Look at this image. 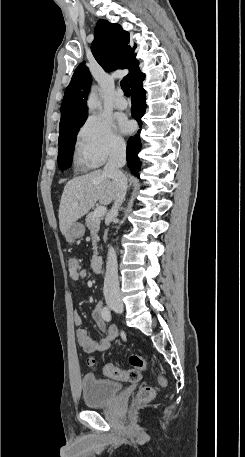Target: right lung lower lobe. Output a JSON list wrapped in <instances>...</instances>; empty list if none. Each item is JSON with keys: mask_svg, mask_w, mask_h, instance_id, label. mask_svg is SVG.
Segmentation results:
<instances>
[{"mask_svg": "<svg viewBox=\"0 0 245 457\" xmlns=\"http://www.w3.org/2000/svg\"><path fill=\"white\" fill-rule=\"evenodd\" d=\"M145 78V75L134 80L131 84V102H132V117L138 121V124L141 126V118L145 113L146 103H145V90L142 88V82ZM140 132V130H139ZM141 149V140L139 135L130 137L127 143V164L130 168L133 175H137L140 171L141 162L138 158V153Z\"/></svg>", "mask_w": 245, "mask_h": 457, "instance_id": "right-lung-lower-lobe-1", "label": "right lung lower lobe"}]
</instances>
